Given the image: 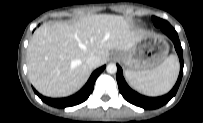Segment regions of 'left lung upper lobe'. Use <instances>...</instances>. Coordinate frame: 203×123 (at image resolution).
I'll return each mask as SVG.
<instances>
[{
	"label": "left lung upper lobe",
	"mask_w": 203,
	"mask_h": 123,
	"mask_svg": "<svg viewBox=\"0 0 203 123\" xmlns=\"http://www.w3.org/2000/svg\"><path fill=\"white\" fill-rule=\"evenodd\" d=\"M153 23L156 27H159L161 25L162 22H164L165 20H162L160 18L157 17H152Z\"/></svg>",
	"instance_id": "1"
}]
</instances>
